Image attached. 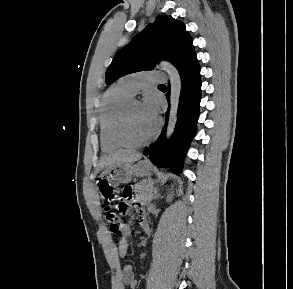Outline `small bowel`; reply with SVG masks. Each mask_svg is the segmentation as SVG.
<instances>
[{"instance_id": "small-bowel-1", "label": "small bowel", "mask_w": 293, "mask_h": 289, "mask_svg": "<svg viewBox=\"0 0 293 289\" xmlns=\"http://www.w3.org/2000/svg\"><path fill=\"white\" fill-rule=\"evenodd\" d=\"M140 222L146 233L150 234V225L147 220L146 214L144 211L139 212ZM132 236V229L129 224H124L120 233L118 240V252L119 256L124 258L128 253V239ZM119 281L121 284V289H124V286L129 287L130 289H135L137 286V279L135 278L133 267L130 264L125 265L120 273Z\"/></svg>"}]
</instances>
